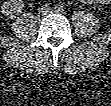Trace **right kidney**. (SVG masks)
Segmentation results:
<instances>
[{
    "mask_svg": "<svg viewBox=\"0 0 111 106\" xmlns=\"http://www.w3.org/2000/svg\"><path fill=\"white\" fill-rule=\"evenodd\" d=\"M8 5H9V4H8ZM9 13H10V12H9V11H7V12H6V15H9Z\"/></svg>",
    "mask_w": 111,
    "mask_h": 106,
    "instance_id": "1",
    "label": "right kidney"
}]
</instances>
